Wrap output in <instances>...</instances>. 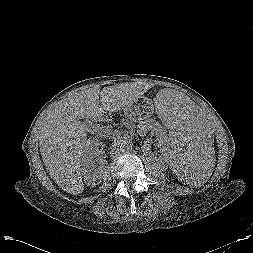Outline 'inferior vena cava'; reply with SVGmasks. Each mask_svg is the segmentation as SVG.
Here are the masks:
<instances>
[{
  "mask_svg": "<svg viewBox=\"0 0 253 253\" xmlns=\"http://www.w3.org/2000/svg\"><path fill=\"white\" fill-rule=\"evenodd\" d=\"M99 130V128L97 129ZM120 153V149H119V145L118 144H114L113 147L111 148V156H117Z\"/></svg>",
  "mask_w": 253,
  "mask_h": 253,
  "instance_id": "inferior-vena-cava-1",
  "label": "inferior vena cava"
}]
</instances>
